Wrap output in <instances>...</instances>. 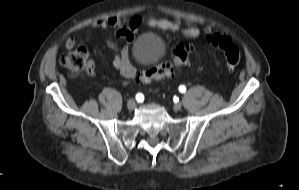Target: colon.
I'll use <instances>...</instances> for the list:
<instances>
[{
    "label": "colon",
    "instance_id": "1",
    "mask_svg": "<svg viewBox=\"0 0 299 190\" xmlns=\"http://www.w3.org/2000/svg\"><path fill=\"white\" fill-rule=\"evenodd\" d=\"M206 41L223 52L228 69H233L240 64V51L229 37L211 33L206 36ZM192 50V46L188 43L174 45L171 48L170 57L145 68L140 73L138 81L142 84H150L172 76L176 70H179L182 65L189 61ZM88 56L86 47L74 45L66 54L61 56L60 63L72 77H75L86 67Z\"/></svg>",
    "mask_w": 299,
    "mask_h": 190
}]
</instances>
